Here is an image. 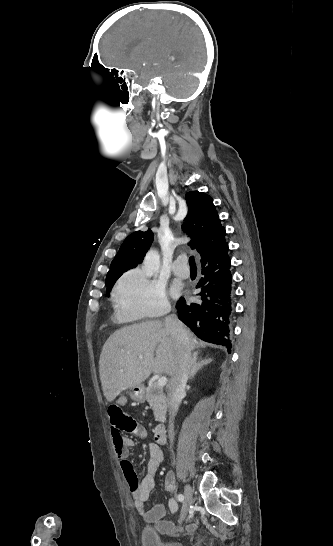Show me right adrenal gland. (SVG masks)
I'll return each instance as SVG.
<instances>
[{
	"label": "right adrenal gland",
	"mask_w": 333,
	"mask_h": 546,
	"mask_svg": "<svg viewBox=\"0 0 333 546\" xmlns=\"http://www.w3.org/2000/svg\"><path fill=\"white\" fill-rule=\"evenodd\" d=\"M198 360V351L194 352L193 354V359H192V368L190 370V373H189V377L188 379L191 380L192 378H194V376L196 375V373L205 365L207 364H210L212 362V359H205V360H201V361H197Z\"/></svg>",
	"instance_id": "right-adrenal-gland-1"
}]
</instances>
